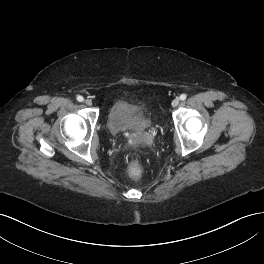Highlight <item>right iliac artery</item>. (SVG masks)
Returning a JSON list of instances; mask_svg holds the SVG:
<instances>
[{
    "mask_svg": "<svg viewBox=\"0 0 264 264\" xmlns=\"http://www.w3.org/2000/svg\"><path fill=\"white\" fill-rule=\"evenodd\" d=\"M77 100L79 101V102H82L83 100H84V98L82 97V96H77Z\"/></svg>",
    "mask_w": 264,
    "mask_h": 264,
    "instance_id": "1",
    "label": "right iliac artery"
}]
</instances>
